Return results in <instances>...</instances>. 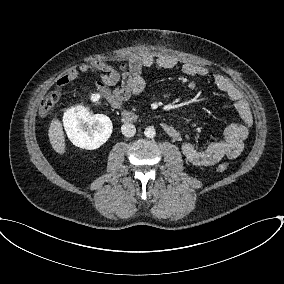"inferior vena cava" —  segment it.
I'll return each instance as SVG.
<instances>
[{"label":"inferior vena cava","mask_w":284,"mask_h":284,"mask_svg":"<svg viewBox=\"0 0 284 284\" xmlns=\"http://www.w3.org/2000/svg\"><path fill=\"white\" fill-rule=\"evenodd\" d=\"M121 132L124 136L126 137H132L136 133V128L133 124L131 123H125L121 127Z\"/></svg>","instance_id":"obj_1"}]
</instances>
